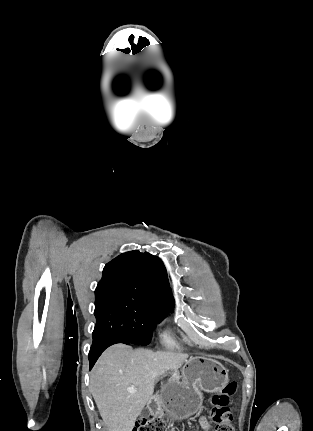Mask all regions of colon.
Returning a JSON list of instances; mask_svg holds the SVG:
<instances>
[{
    "label": "colon",
    "mask_w": 313,
    "mask_h": 431,
    "mask_svg": "<svg viewBox=\"0 0 313 431\" xmlns=\"http://www.w3.org/2000/svg\"><path fill=\"white\" fill-rule=\"evenodd\" d=\"M236 391L237 383L232 381L211 396L210 417L215 424L214 431H234L229 405ZM133 431H168V428L166 423L159 418H142L137 422Z\"/></svg>",
    "instance_id": "1"
}]
</instances>
